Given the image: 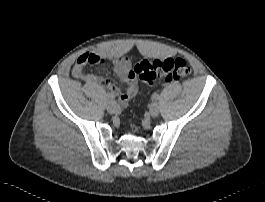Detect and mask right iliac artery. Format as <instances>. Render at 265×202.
Returning <instances> with one entry per match:
<instances>
[{
	"label": "right iliac artery",
	"instance_id": "right-iliac-artery-1",
	"mask_svg": "<svg viewBox=\"0 0 265 202\" xmlns=\"http://www.w3.org/2000/svg\"><path fill=\"white\" fill-rule=\"evenodd\" d=\"M107 98H108L109 101H112V99H113L110 94H107Z\"/></svg>",
	"mask_w": 265,
	"mask_h": 202
}]
</instances>
